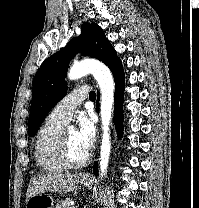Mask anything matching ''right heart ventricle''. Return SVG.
<instances>
[{"label":"right heart ventricle","mask_w":199,"mask_h":208,"mask_svg":"<svg viewBox=\"0 0 199 208\" xmlns=\"http://www.w3.org/2000/svg\"><path fill=\"white\" fill-rule=\"evenodd\" d=\"M64 125L49 117L37 134L34 156L37 165L46 173H58L65 169L57 155V144Z\"/></svg>","instance_id":"obj_1"}]
</instances>
